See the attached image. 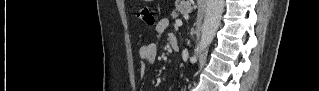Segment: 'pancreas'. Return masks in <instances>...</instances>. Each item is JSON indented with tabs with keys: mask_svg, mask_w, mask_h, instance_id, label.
<instances>
[{
	"mask_svg": "<svg viewBox=\"0 0 319 91\" xmlns=\"http://www.w3.org/2000/svg\"><path fill=\"white\" fill-rule=\"evenodd\" d=\"M192 10L191 6L188 5V4H180L176 7V11L174 14H173V18H176L178 17L179 15V12H181L182 14H185V13H189L190 11Z\"/></svg>",
	"mask_w": 319,
	"mask_h": 91,
	"instance_id": "cf45deb5",
	"label": "pancreas"
}]
</instances>
